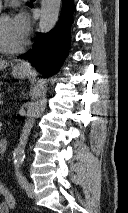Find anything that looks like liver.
I'll return each mask as SVG.
<instances>
[{"mask_svg":"<svg viewBox=\"0 0 128 213\" xmlns=\"http://www.w3.org/2000/svg\"><path fill=\"white\" fill-rule=\"evenodd\" d=\"M8 66V62L4 60H0V71Z\"/></svg>","mask_w":128,"mask_h":213,"instance_id":"6515ba94","label":"liver"}]
</instances>
